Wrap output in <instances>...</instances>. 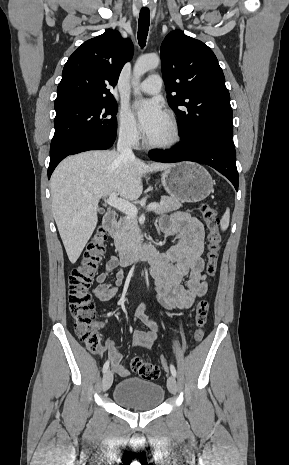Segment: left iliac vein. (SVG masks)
<instances>
[{"label": "left iliac vein", "mask_w": 289, "mask_h": 465, "mask_svg": "<svg viewBox=\"0 0 289 465\" xmlns=\"http://www.w3.org/2000/svg\"><path fill=\"white\" fill-rule=\"evenodd\" d=\"M167 387L170 393L176 394L177 392V381L173 375L168 377Z\"/></svg>", "instance_id": "1"}]
</instances>
